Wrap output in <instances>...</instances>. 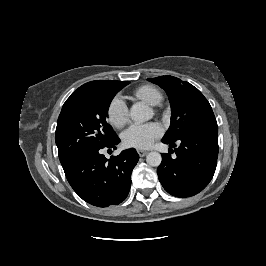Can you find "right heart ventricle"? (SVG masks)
<instances>
[{"mask_svg":"<svg viewBox=\"0 0 266 266\" xmlns=\"http://www.w3.org/2000/svg\"><path fill=\"white\" fill-rule=\"evenodd\" d=\"M134 96L150 105H157L163 100V94L160 89L150 84L138 87L134 91Z\"/></svg>","mask_w":266,"mask_h":266,"instance_id":"right-heart-ventricle-1","label":"right heart ventricle"}]
</instances>
